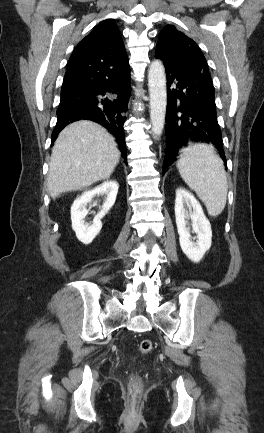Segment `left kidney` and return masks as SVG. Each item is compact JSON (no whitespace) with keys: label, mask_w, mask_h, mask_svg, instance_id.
<instances>
[{"label":"left kidney","mask_w":264,"mask_h":433,"mask_svg":"<svg viewBox=\"0 0 264 433\" xmlns=\"http://www.w3.org/2000/svg\"><path fill=\"white\" fill-rule=\"evenodd\" d=\"M175 218L182 251L192 262L198 263L211 247V225L200 203L181 187L176 190ZM188 219L191 220L192 230L197 235L196 242L191 240L190 228L187 227Z\"/></svg>","instance_id":"left-kidney-1"}]
</instances>
